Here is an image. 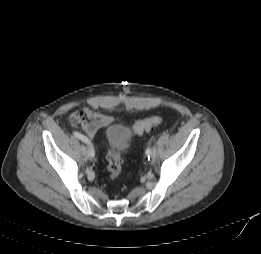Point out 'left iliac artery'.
<instances>
[{"mask_svg": "<svg viewBox=\"0 0 261 254\" xmlns=\"http://www.w3.org/2000/svg\"><path fill=\"white\" fill-rule=\"evenodd\" d=\"M152 150H151V148L150 147H148L147 149H146V151H145V153H146V155L148 156V158L150 159V157L152 156Z\"/></svg>", "mask_w": 261, "mask_h": 254, "instance_id": "44dca946", "label": "left iliac artery"}]
</instances>
